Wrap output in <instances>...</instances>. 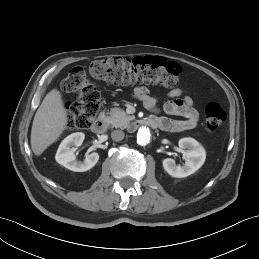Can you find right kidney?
Segmentation results:
<instances>
[{"mask_svg":"<svg viewBox=\"0 0 259 259\" xmlns=\"http://www.w3.org/2000/svg\"><path fill=\"white\" fill-rule=\"evenodd\" d=\"M85 135L81 132L73 133L67 136L59 145L55 159L56 161L69 170L75 172H84L91 169L99 160V155L93 152L86 156L83 162L77 161L74 154L75 147H79Z\"/></svg>","mask_w":259,"mask_h":259,"instance_id":"ca27d5eb","label":"right kidney"}]
</instances>
